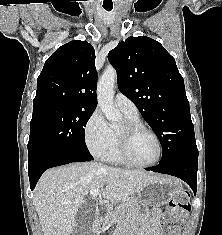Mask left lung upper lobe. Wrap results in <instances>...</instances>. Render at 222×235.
<instances>
[{"label": "left lung upper lobe", "instance_id": "5c2ea615", "mask_svg": "<svg viewBox=\"0 0 222 235\" xmlns=\"http://www.w3.org/2000/svg\"><path fill=\"white\" fill-rule=\"evenodd\" d=\"M119 90L152 127L162 145L160 162L198 155L184 80L175 59L156 40L129 37L108 54Z\"/></svg>", "mask_w": 222, "mask_h": 235}]
</instances>
